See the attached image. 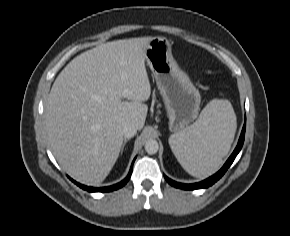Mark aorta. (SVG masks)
Here are the masks:
<instances>
[{
    "label": "aorta",
    "mask_w": 290,
    "mask_h": 236,
    "mask_svg": "<svg viewBox=\"0 0 290 236\" xmlns=\"http://www.w3.org/2000/svg\"><path fill=\"white\" fill-rule=\"evenodd\" d=\"M159 149V144L156 140L154 139H149L146 143H145V151L148 154H155L158 152Z\"/></svg>",
    "instance_id": "aorta-1"
}]
</instances>
